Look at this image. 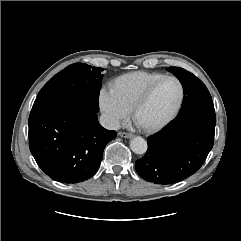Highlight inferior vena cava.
<instances>
[{
	"label": "inferior vena cava",
	"instance_id": "1",
	"mask_svg": "<svg viewBox=\"0 0 241 241\" xmlns=\"http://www.w3.org/2000/svg\"><path fill=\"white\" fill-rule=\"evenodd\" d=\"M99 122L106 129H109V130L120 129L119 121L117 119H115L114 117L108 115V114H102L100 116Z\"/></svg>",
	"mask_w": 241,
	"mask_h": 241
}]
</instances>
